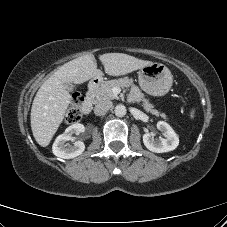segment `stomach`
Returning <instances> with one entry per match:
<instances>
[{"mask_svg": "<svg viewBox=\"0 0 227 227\" xmlns=\"http://www.w3.org/2000/svg\"><path fill=\"white\" fill-rule=\"evenodd\" d=\"M140 87L153 96H163L172 86V74L170 70L161 63H152L142 67L138 72Z\"/></svg>", "mask_w": 227, "mask_h": 227, "instance_id": "1", "label": "stomach"}]
</instances>
